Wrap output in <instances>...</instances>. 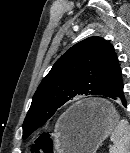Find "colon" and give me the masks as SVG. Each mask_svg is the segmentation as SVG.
Listing matches in <instances>:
<instances>
[{"label":"colon","mask_w":130,"mask_h":153,"mask_svg":"<svg viewBox=\"0 0 130 153\" xmlns=\"http://www.w3.org/2000/svg\"><path fill=\"white\" fill-rule=\"evenodd\" d=\"M52 148L51 135L42 134L35 140L32 151L35 153H52Z\"/></svg>","instance_id":"obj_1"}]
</instances>
